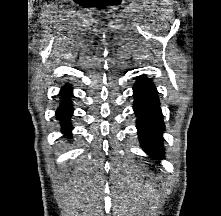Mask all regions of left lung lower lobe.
Wrapping results in <instances>:
<instances>
[{
  "label": "left lung lower lobe",
  "mask_w": 221,
  "mask_h": 216,
  "mask_svg": "<svg viewBox=\"0 0 221 216\" xmlns=\"http://www.w3.org/2000/svg\"><path fill=\"white\" fill-rule=\"evenodd\" d=\"M134 113L140 144L155 159L164 158L163 131L165 128L157 90L154 84L141 75L133 87Z\"/></svg>",
  "instance_id": "1"
}]
</instances>
